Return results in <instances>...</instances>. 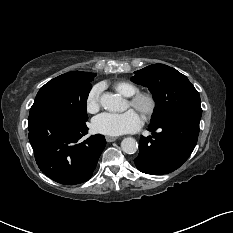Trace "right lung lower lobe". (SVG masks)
Listing matches in <instances>:
<instances>
[{"label": "right lung lower lobe", "mask_w": 233, "mask_h": 233, "mask_svg": "<svg viewBox=\"0 0 233 233\" xmlns=\"http://www.w3.org/2000/svg\"><path fill=\"white\" fill-rule=\"evenodd\" d=\"M29 141L40 170L52 180L80 184L90 179L106 146L103 135L88 133L84 121L60 114H41L28 121Z\"/></svg>", "instance_id": "98d812e1"}]
</instances>
